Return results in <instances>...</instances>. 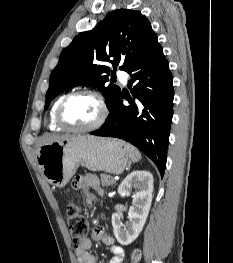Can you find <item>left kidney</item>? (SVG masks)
Instances as JSON below:
<instances>
[{
	"instance_id": "1",
	"label": "left kidney",
	"mask_w": 233,
	"mask_h": 263,
	"mask_svg": "<svg viewBox=\"0 0 233 263\" xmlns=\"http://www.w3.org/2000/svg\"><path fill=\"white\" fill-rule=\"evenodd\" d=\"M137 189L133 195L132 206L128 211V221H121L120 213L112 215L113 232L121 245L131 244L142 231L152 203L153 176L150 172L137 170L130 173L120 184L121 197L130 195L131 188Z\"/></svg>"
}]
</instances>
